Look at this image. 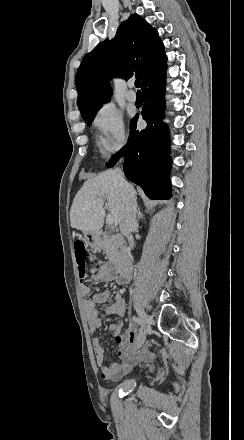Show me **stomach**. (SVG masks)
Segmentation results:
<instances>
[{"label":"stomach","instance_id":"1","mask_svg":"<svg viewBox=\"0 0 244 440\" xmlns=\"http://www.w3.org/2000/svg\"><path fill=\"white\" fill-rule=\"evenodd\" d=\"M83 236L87 246H90V248H94V250L102 248L103 240L101 238V232H83Z\"/></svg>","mask_w":244,"mask_h":440}]
</instances>
